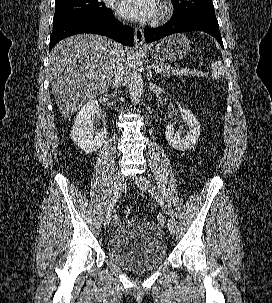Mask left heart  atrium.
<instances>
[{
  "label": "left heart atrium",
  "instance_id": "1",
  "mask_svg": "<svg viewBox=\"0 0 272 303\" xmlns=\"http://www.w3.org/2000/svg\"><path fill=\"white\" fill-rule=\"evenodd\" d=\"M158 0H119L118 13L125 18L136 21H148L158 15Z\"/></svg>",
  "mask_w": 272,
  "mask_h": 303
}]
</instances>
